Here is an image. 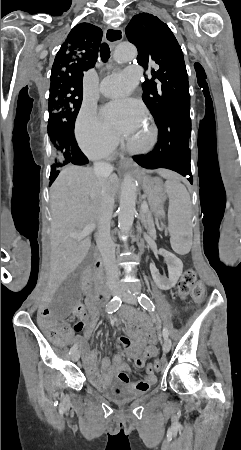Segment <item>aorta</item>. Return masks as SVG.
<instances>
[{
    "mask_svg": "<svg viewBox=\"0 0 241 450\" xmlns=\"http://www.w3.org/2000/svg\"><path fill=\"white\" fill-rule=\"evenodd\" d=\"M137 56L134 45L129 43L119 44L114 52L116 62L122 63L133 60ZM136 205V183L134 179L127 175L124 177L121 186L120 205L118 209V227L127 233L130 231L134 221Z\"/></svg>",
    "mask_w": 241,
    "mask_h": 450,
    "instance_id": "1",
    "label": "aorta"
}]
</instances>
